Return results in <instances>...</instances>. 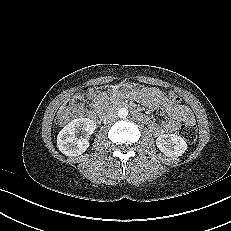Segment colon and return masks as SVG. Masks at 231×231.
<instances>
[{"label":"colon","instance_id":"1","mask_svg":"<svg viewBox=\"0 0 231 231\" xmlns=\"http://www.w3.org/2000/svg\"><path fill=\"white\" fill-rule=\"evenodd\" d=\"M168 99L173 104H180V97L174 92L168 94ZM84 98L81 95H75L61 110L57 117L59 124H65L72 118L78 116L83 110ZM180 135L187 142H194L197 137V127L194 123H185L180 127Z\"/></svg>","mask_w":231,"mask_h":231}]
</instances>
